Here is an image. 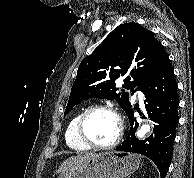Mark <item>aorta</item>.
I'll return each instance as SVG.
<instances>
[{"mask_svg":"<svg viewBox=\"0 0 194 178\" xmlns=\"http://www.w3.org/2000/svg\"><path fill=\"white\" fill-rule=\"evenodd\" d=\"M150 131V126L149 125H142L141 127H140V129L137 131V135H138V137H144L145 136V134H147L148 132Z\"/></svg>","mask_w":194,"mask_h":178,"instance_id":"obj_1","label":"aorta"}]
</instances>
